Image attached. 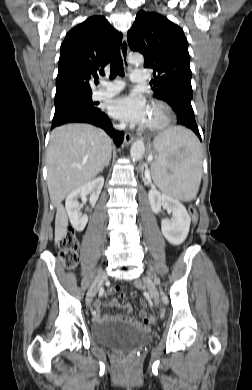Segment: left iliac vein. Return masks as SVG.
Instances as JSON below:
<instances>
[{
	"mask_svg": "<svg viewBox=\"0 0 252 390\" xmlns=\"http://www.w3.org/2000/svg\"><path fill=\"white\" fill-rule=\"evenodd\" d=\"M143 281H144L145 285L147 286V289L151 295V298H152L154 304L158 305L159 304V296H158V292H157V289L155 287V284L152 281L151 277L146 276L143 278Z\"/></svg>",
	"mask_w": 252,
	"mask_h": 390,
	"instance_id": "1",
	"label": "left iliac vein"
}]
</instances>
